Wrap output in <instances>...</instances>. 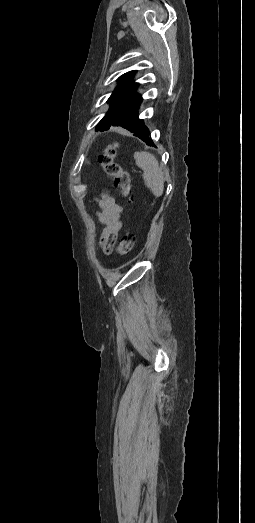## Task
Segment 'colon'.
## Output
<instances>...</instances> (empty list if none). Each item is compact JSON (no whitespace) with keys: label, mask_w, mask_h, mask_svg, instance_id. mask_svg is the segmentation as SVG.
Segmentation results:
<instances>
[{"label":"colon","mask_w":255,"mask_h":523,"mask_svg":"<svg viewBox=\"0 0 255 523\" xmlns=\"http://www.w3.org/2000/svg\"><path fill=\"white\" fill-rule=\"evenodd\" d=\"M117 143L110 144L99 156V162L107 175L113 178L115 187L124 198H129L132 191L130 173L123 169L116 161ZM134 245L133 234L124 232L116 246V252L120 255L128 254Z\"/></svg>","instance_id":"5ec220e1"}]
</instances>
